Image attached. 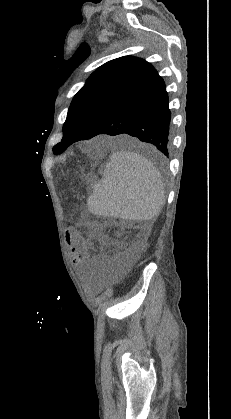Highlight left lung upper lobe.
Segmentation results:
<instances>
[{"label":"left lung upper lobe","instance_id":"5c2ea615","mask_svg":"<svg viewBox=\"0 0 231 419\" xmlns=\"http://www.w3.org/2000/svg\"><path fill=\"white\" fill-rule=\"evenodd\" d=\"M152 71L154 67L150 63L133 56L120 57L100 66L74 96L63 126L62 142L54 146V154L86 139Z\"/></svg>","mask_w":231,"mask_h":419}]
</instances>
